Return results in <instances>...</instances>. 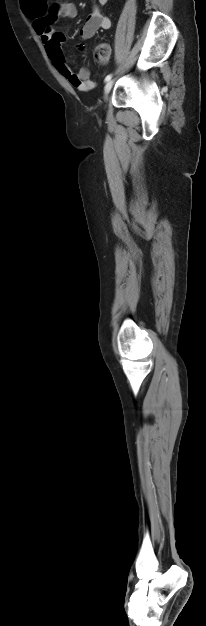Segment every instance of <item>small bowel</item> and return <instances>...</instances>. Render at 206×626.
<instances>
[{
	"label": "small bowel",
	"instance_id": "small-bowel-1",
	"mask_svg": "<svg viewBox=\"0 0 206 626\" xmlns=\"http://www.w3.org/2000/svg\"><path fill=\"white\" fill-rule=\"evenodd\" d=\"M107 1L97 0V4L92 6L91 12L80 30L82 40L91 38L99 30L110 28V19L102 15L99 9V6H104ZM24 8L27 16L33 20V28L44 43L46 52L58 72L77 90L82 92L93 90L97 83L90 79L89 70L85 67H82L77 73L71 70L62 52V45L66 40L65 35L52 28V24L60 18H75L77 15L75 5L68 2L48 4L46 0H35L31 4H25Z\"/></svg>",
	"mask_w": 206,
	"mask_h": 626
}]
</instances>
